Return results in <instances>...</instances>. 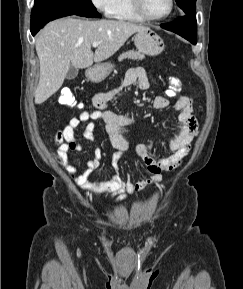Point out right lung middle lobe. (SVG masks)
Returning <instances> with one entry per match:
<instances>
[{
  "label": "right lung middle lobe",
  "instance_id": "1",
  "mask_svg": "<svg viewBox=\"0 0 243 289\" xmlns=\"http://www.w3.org/2000/svg\"><path fill=\"white\" fill-rule=\"evenodd\" d=\"M34 3L56 4L59 6H75L95 9L91 0H35Z\"/></svg>",
  "mask_w": 243,
  "mask_h": 289
}]
</instances>
